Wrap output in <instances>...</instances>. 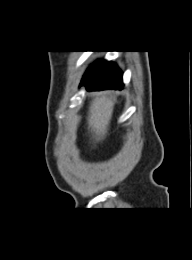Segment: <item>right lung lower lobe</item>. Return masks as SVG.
Masks as SVG:
<instances>
[{
	"label": "right lung lower lobe",
	"instance_id": "right-lung-lower-lobe-1",
	"mask_svg": "<svg viewBox=\"0 0 192 260\" xmlns=\"http://www.w3.org/2000/svg\"><path fill=\"white\" fill-rule=\"evenodd\" d=\"M87 90L123 89L122 73L112 62L97 61L89 67L80 86Z\"/></svg>",
	"mask_w": 192,
	"mask_h": 260
}]
</instances>
